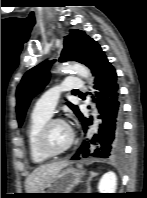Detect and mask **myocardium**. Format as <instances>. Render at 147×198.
<instances>
[{"label":"myocardium","mask_w":147,"mask_h":198,"mask_svg":"<svg viewBox=\"0 0 147 198\" xmlns=\"http://www.w3.org/2000/svg\"><path fill=\"white\" fill-rule=\"evenodd\" d=\"M55 123H63L65 124L69 129V140L68 142L62 147L61 149L55 150L53 149L49 144V130L50 127ZM75 139V135L73 130L60 118H49L41 127L39 134H38V147L40 151L48 156V157H56L63 153H65L67 150L70 149V147L73 145Z\"/></svg>","instance_id":"myocardium-1"}]
</instances>
